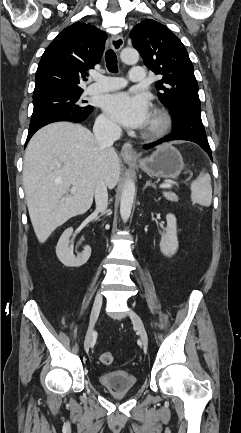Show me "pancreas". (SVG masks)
Listing matches in <instances>:
<instances>
[{
    "label": "pancreas",
    "mask_w": 241,
    "mask_h": 433,
    "mask_svg": "<svg viewBox=\"0 0 241 433\" xmlns=\"http://www.w3.org/2000/svg\"><path fill=\"white\" fill-rule=\"evenodd\" d=\"M164 197L171 201V202H177L178 201V196L173 193V192H163Z\"/></svg>",
    "instance_id": "1"
}]
</instances>
